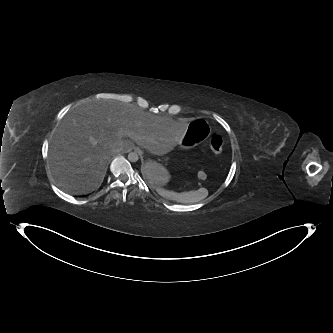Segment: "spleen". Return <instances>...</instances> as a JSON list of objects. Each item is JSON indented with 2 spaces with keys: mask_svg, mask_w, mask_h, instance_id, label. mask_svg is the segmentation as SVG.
Returning <instances> with one entry per match:
<instances>
[{
  "mask_svg": "<svg viewBox=\"0 0 333 333\" xmlns=\"http://www.w3.org/2000/svg\"><path fill=\"white\" fill-rule=\"evenodd\" d=\"M160 195L165 196L167 200L175 202H198L205 199L208 196L206 189H199L198 191H190L187 193H178L175 191H168L165 188L153 187Z\"/></svg>",
  "mask_w": 333,
  "mask_h": 333,
  "instance_id": "1",
  "label": "spleen"
}]
</instances>
